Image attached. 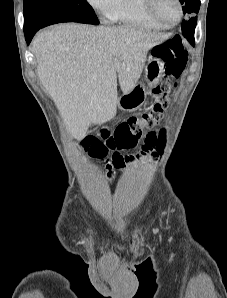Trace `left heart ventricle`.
<instances>
[{
	"label": "left heart ventricle",
	"mask_w": 227,
	"mask_h": 298,
	"mask_svg": "<svg viewBox=\"0 0 227 298\" xmlns=\"http://www.w3.org/2000/svg\"><path fill=\"white\" fill-rule=\"evenodd\" d=\"M157 12L168 23H174L179 17V8L175 0H158Z\"/></svg>",
	"instance_id": "b2bd125f"
}]
</instances>
